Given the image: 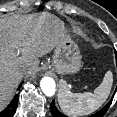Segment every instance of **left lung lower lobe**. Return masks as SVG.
<instances>
[{
	"label": "left lung lower lobe",
	"mask_w": 117,
	"mask_h": 117,
	"mask_svg": "<svg viewBox=\"0 0 117 117\" xmlns=\"http://www.w3.org/2000/svg\"><path fill=\"white\" fill-rule=\"evenodd\" d=\"M116 62H117V59H116ZM116 91H117V88H116L115 92ZM115 92H114V94H115ZM114 94L112 96V99L114 97ZM112 99H111V101H112ZM111 101L108 104H106L100 111L91 115L90 117H102L107 112V110L109 109V107L111 105ZM50 110H51V114H52L53 117H67L57 110L54 101L51 103Z\"/></svg>",
	"instance_id": "obj_1"
}]
</instances>
